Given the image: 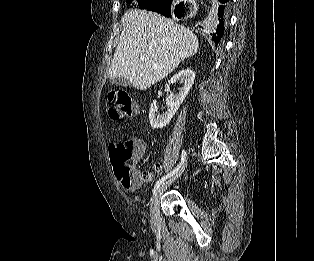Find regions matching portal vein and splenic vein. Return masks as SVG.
<instances>
[{
  "label": "portal vein and splenic vein",
  "mask_w": 314,
  "mask_h": 261,
  "mask_svg": "<svg viewBox=\"0 0 314 261\" xmlns=\"http://www.w3.org/2000/svg\"><path fill=\"white\" fill-rule=\"evenodd\" d=\"M141 59H142L143 61H146V60H147L145 57H141ZM153 68H154V69H157V68H158V65H157V64H154V65H153Z\"/></svg>",
  "instance_id": "18ae733b"
}]
</instances>
